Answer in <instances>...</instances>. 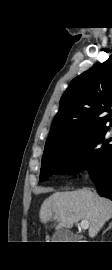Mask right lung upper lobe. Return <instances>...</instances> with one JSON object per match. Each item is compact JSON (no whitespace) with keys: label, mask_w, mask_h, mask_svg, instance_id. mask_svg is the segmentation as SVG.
Wrapping results in <instances>:
<instances>
[{"label":"right lung upper lobe","mask_w":112,"mask_h":270,"mask_svg":"<svg viewBox=\"0 0 112 270\" xmlns=\"http://www.w3.org/2000/svg\"><path fill=\"white\" fill-rule=\"evenodd\" d=\"M111 109L112 55L72 80L61 97L45 147L75 140L106 127L108 121L112 126Z\"/></svg>","instance_id":"cb5924a9"}]
</instances>
